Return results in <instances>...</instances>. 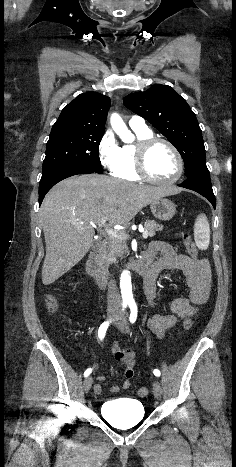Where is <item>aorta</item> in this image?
<instances>
[{
    "instance_id": "762f6f07",
    "label": "aorta",
    "mask_w": 236,
    "mask_h": 467,
    "mask_svg": "<svg viewBox=\"0 0 236 467\" xmlns=\"http://www.w3.org/2000/svg\"><path fill=\"white\" fill-rule=\"evenodd\" d=\"M110 124L115 133L124 141L130 142L132 139V134L128 130L126 124L122 120L119 114L113 113L110 117ZM120 288L122 293V298L124 301H132V284L131 276L128 270H124L121 273L120 277Z\"/></svg>"
}]
</instances>
